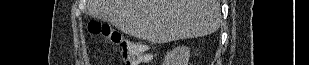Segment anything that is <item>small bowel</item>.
Instances as JSON below:
<instances>
[{
	"label": "small bowel",
	"mask_w": 309,
	"mask_h": 65,
	"mask_svg": "<svg viewBox=\"0 0 309 65\" xmlns=\"http://www.w3.org/2000/svg\"><path fill=\"white\" fill-rule=\"evenodd\" d=\"M146 60H148V57H147V56H146ZM146 60H145V61H146Z\"/></svg>",
	"instance_id": "small-bowel-1"
}]
</instances>
